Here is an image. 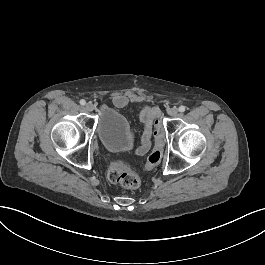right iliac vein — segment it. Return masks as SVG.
Returning <instances> with one entry per match:
<instances>
[{
  "mask_svg": "<svg viewBox=\"0 0 265 265\" xmlns=\"http://www.w3.org/2000/svg\"><path fill=\"white\" fill-rule=\"evenodd\" d=\"M85 109H86L88 112H92V111L95 109V106H94L93 103L88 102V103L85 105Z\"/></svg>",
  "mask_w": 265,
  "mask_h": 265,
  "instance_id": "right-iliac-vein-1",
  "label": "right iliac vein"
}]
</instances>
